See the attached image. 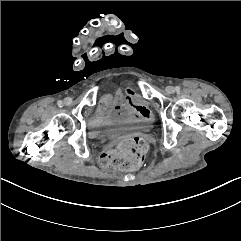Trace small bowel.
<instances>
[{"mask_svg":"<svg viewBox=\"0 0 241 241\" xmlns=\"http://www.w3.org/2000/svg\"><path fill=\"white\" fill-rule=\"evenodd\" d=\"M135 91L131 86L126 88V96L124 98V103L122 106L118 107V109L129 108L132 111V118L140 123V124H150L154 120V116L150 110V108L144 103H138L134 100ZM109 96H105L100 104L99 110L103 111L107 104L109 103ZM121 131H111L107 133H99L98 136L103 138L106 136H119L121 135Z\"/></svg>","mask_w":241,"mask_h":241,"instance_id":"obj_1","label":"small bowel"}]
</instances>
